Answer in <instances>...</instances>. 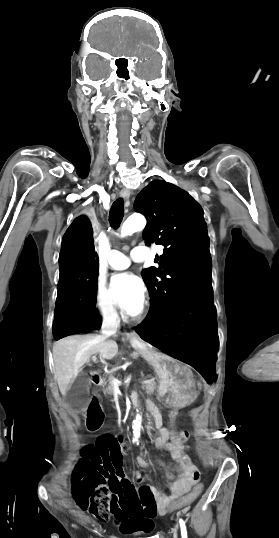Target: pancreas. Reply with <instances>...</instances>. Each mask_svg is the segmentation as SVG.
Returning a JSON list of instances; mask_svg holds the SVG:
<instances>
[{
    "label": "pancreas",
    "instance_id": "pancreas-1",
    "mask_svg": "<svg viewBox=\"0 0 279 538\" xmlns=\"http://www.w3.org/2000/svg\"><path fill=\"white\" fill-rule=\"evenodd\" d=\"M106 382H108V384H107L106 388H103V392H104V394H108V396H113V394H114V386H113V378H112V376H109V378H108V380H106ZM141 387L142 388H138V391H143L142 395L143 396H148V393H154L156 391L155 380H151V379L142 380Z\"/></svg>",
    "mask_w": 279,
    "mask_h": 538
}]
</instances>
